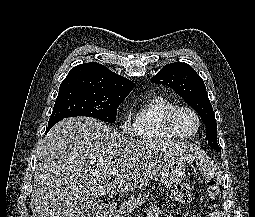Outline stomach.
Segmentation results:
<instances>
[{"label": "stomach", "mask_w": 255, "mask_h": 217, "mask_svg": "<svg viewBox=\"0 0 255 217\" xmlns=\"http://www.w3.org/2000/svg\"><path fill=\"white\" fill-rule=\"evenodd\" d=\"M183 160L173 158L166 162L158 173L161 184L166 188H172L184 177Z\"/></svg>", "instance_id": "stomach-1"}]
</instances>
